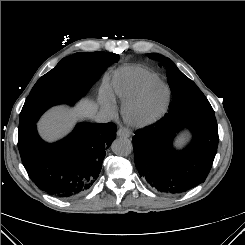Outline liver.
<instances>
[{
  "instance_id": "6515ba94",
  "label": "liver",
  "mask_w": 245,
  "mask_h": 245,
  "mask_svg": "<svg viewBox=\"0 0 245 245\" xmlns=\"http://www.w3.org/2000/svg\"><path fill=\"white\" fill-rule=\"evenodd\" d=\"M98 106L90 100H82L77 107H54L43 115L38 123L39 132L48 141L56 140L70 131L76 119L93 118Z\"/></svg>"
}]
</instances>
